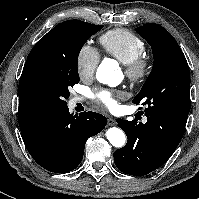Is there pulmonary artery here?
Returning a JSON list of instances; mask_svg holds the SVG:
<instances>
[{"mask_svg":"<svg viewBox=\"0 0 199 199\" xmlns=\"http://www.w3.org/2000/svg\"><path fill=\"white\" fill-rule=\"evenodd\" d=\"M82 98L81 97H74L71 101V107L75 106L77 103L82 102Z\"/></svg>","mask_w":199,"mask_h":199,"instance_id":"obj_1","label":"pulmonary artery"}]
</instances>
